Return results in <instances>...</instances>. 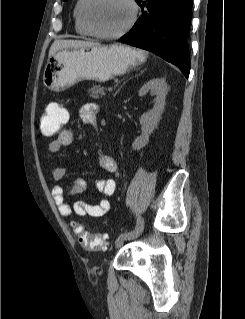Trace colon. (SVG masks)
<instances>
[{
  "mask_svg": "<svg viewBox=\"0 0 245 319\" xmlns=\"http://www.w3.org/2000/svg\"><path fill=\"white\" fill-rule=\"evenodd\" d=\"M67 120V111L60 105H53L40 117V127L45 135L58 133ZM74 231L81 246L89 250H97L107 245L105 236L85 231L80 225H74Z\"/></svg>",
  "mask_w": 245,
  "mask_h": 319,
  "instance_id": "1",
  "label": "colon"
}]
</instances>
